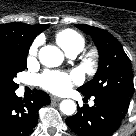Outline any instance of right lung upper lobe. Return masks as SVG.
<instances>
[{
  "label": "right lung upper lobe",
  "instance_id": "cb5924a9",
  "mask_svg": "<svg viewBox=\"0 0 136 136\" xmlns=\"http://www.w3.org/2000/svg\"><path fill=\"white\" fill-rule=\"evenodd\" d=\"M49 25H28L20 22L0 24V44H16L20 48H29L34 38Z\"/></svg>",
  "mask_w": 136,
  "mask_h": 136
}]
</instances>
